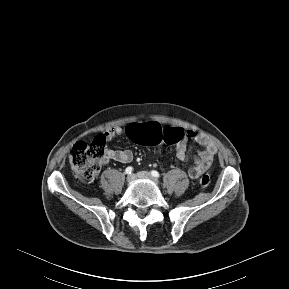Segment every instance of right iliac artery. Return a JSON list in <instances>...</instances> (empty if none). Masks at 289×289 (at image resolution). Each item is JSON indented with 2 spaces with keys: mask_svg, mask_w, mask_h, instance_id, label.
<instances>
[{
  "mask_svg": "<svg viewBox=\"0 0 289 289\" xmlns=\"http://www.w3.org/2000/svg\"><path fill=\"white\" fill-rule=\"evenodd\" d=\"M133 172V168L131 166L127 167L125 170L126 174H131Z\"/></svg>",
  "mask_w": 289,
  "mask_h": 289,
  "instance_id": "obj_1",
  "label": "right iliac artery"
}]
</instances>
